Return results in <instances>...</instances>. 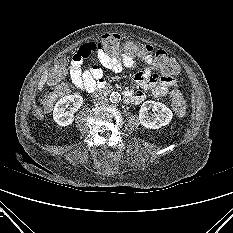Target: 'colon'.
<instances>
[{
    "label": "colon",
    "mask_w": 233,
    "mask_h": 233,
    "mask_svg": "<svg viewBox=\"0 0 233 233\" xmlns=\"http://www.w3.org/2000/svg\"><path fill=\"white\" fill-rule=\"evenodd\" d=\"M99 50L114 54L119 51H124L129 54H134L137 50L143 53H149L158 68V70L166 76L174 75L178 72L179 66L177 62L163 50H156L149 45L139 44L131 40H122L117 34H106L96 43H89L81 46L80 52L84 58L97 54ZM66 68V59L60 57L57 59L55 66L49 73V81L53 87L48 91L45 99V106L50 108L54 101L62 95L69 92V86L64 78ZM170 103L175 113L183 117L187 112V103L179 91H171L169 94Z\"/></svg>",
    "instance_id": "1"
}]
</instances>
